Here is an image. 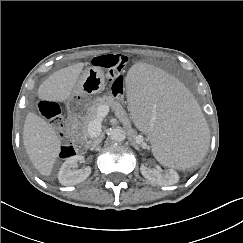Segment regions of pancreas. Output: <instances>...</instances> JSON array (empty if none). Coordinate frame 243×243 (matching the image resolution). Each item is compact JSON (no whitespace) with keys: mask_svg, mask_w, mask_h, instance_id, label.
I'll return each mask as SVG.
<instances>
[{"mask_svg":"<svg viewBox=\"0 0 243 243\" xmlns=\"http://www.w3.org/2000/svg\"><path fill=\"white\" fill-rule=\"evenodd\" d=\"M101 105L110 106L114 111L115 116L121 122L127 123L129 121L125 109L119 102L115 101L112 96L97 97L94 101L91 102L90 106L88 107V115L82 125V132L85 137L90 136L88 133V125L91 121L97 118L98 108Z\"/></svg>","mask_w":243,"mask_h":243,"instance_id":"cf45deb5","label":"pancreas"}]
</instances>
